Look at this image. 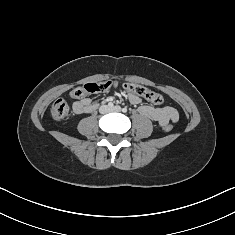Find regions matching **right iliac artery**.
<instances>
[{
    "mask_svg": "<svg viewBox=\"0 0 235 235\" xmlns=\"http://www.w3.org/2000/svg\"><path fill=\"white\" fill-rule=\"evenodd\" d=\"M108 106H109V107H113L114 105H113L112 102H109V103H108Z\"/></svg>",
    "mask_w": 235,
    "mask_h": 235,
    "instance_id": "obj_1",
    "label": "right iliac artery"
}]
</instances>
